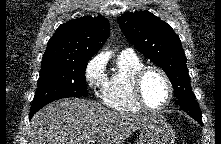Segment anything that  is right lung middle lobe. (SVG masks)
Here are the masks:
<instances>
[{
  "mask_svg": "<svg viewBox=\"0 0 221 144\" xmlns=\"http://www.w3.org/2000/svg\"><path fill=\"white\" fill-rule=\"evenodd\" d=\"M87 61L42 60L38 88L30 112L67 97H86L85 70Z\"/></svg>",
  "mask_w": 221,
  "mask_h": 144,
  "instance_id": "1",
  "label": "right lung middle lobe"
}]
</instances>
